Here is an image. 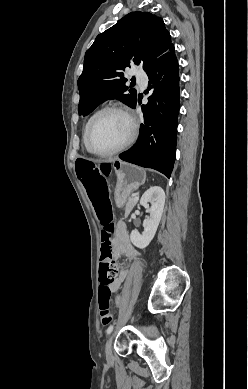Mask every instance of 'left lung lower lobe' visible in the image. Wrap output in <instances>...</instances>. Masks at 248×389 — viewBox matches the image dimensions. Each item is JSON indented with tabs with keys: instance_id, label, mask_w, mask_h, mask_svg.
Segmentation results:
<instances>
[{
	"instance_id": "obj_1",
	"label": "left lung lower lobe",
	"mask_w": 248,
	"mask_h": 389,
	"mask_svg": "<svg viewBox=\"0 0 248 389\" xmlns=\"http://www.w3.org/2000/svg\"><path fill=\"white\" fill-rule=\"evenodd\" d=\"M178 70L175 48L171 45L146 72L149 77L148 90L153 89V93L148 103L142 106L144 124H141L135 145L119 156L126 162L155 169L168 178L176 156L180 108ZM135 107L136 103L132 108Z\"/></svg>"
}]
</instances>
